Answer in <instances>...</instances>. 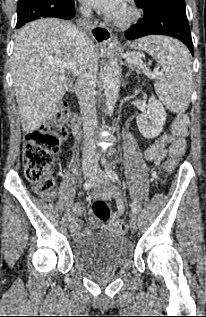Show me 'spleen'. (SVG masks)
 I'll use <instances>...</instances> for the list:
<instances>
[{
  "label": "spleen",
  "mask_w": 206,
  "mask_h": 317,
  "mask_svg": "<svg viewBox=\"0 0 206 317\" xmlns=\"http://www.w3.org/2000/svg\"><path fill=\"white\" fill-rule=\"evenodd\" d=\"M131 47L146 51L162 66L165 77L154 87L163 105L173 112L186 111L193 80L192 60L187 48L164 36L144 37L134 41Z\"/></svg>",
  "instance_id": "3e777b00"
}]
</instances>
